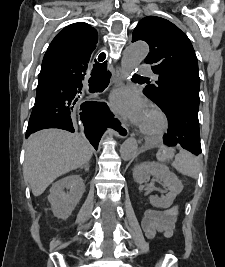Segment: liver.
<instances>
[{"label":"liver","mask_w":225,"mask_h":267,"mask_svg":"<svg viewBox=\"0 0 225 267\" xmlns=\"http://www.w3.org/2000/svg\"><path fill=\"white\" fill-rule=\"evenodd\" d=\"M25 150L23 175L35 197L59 176L82 168L93 154L92 147L81 136L58 129L32 134Z\"/></svg>","instance_id":"6515ba94"}]
</instances>
